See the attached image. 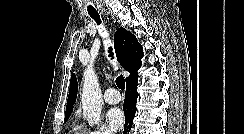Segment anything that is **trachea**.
Listing matches in <instances>:
<instances>
[{"mask_svg": "<svg viewBox=\"0 0 244 134\" xmlns=\"http://www.w3.org/2000/svg\"><path fill=\"white\" fill-rule=\"evenodd\" d=\"M89 15L97 22V24L101 23V19H100V16L98 13H89ZM108 52H109V56L111 58H113V53H112L111 47L109 48ZM116 84H117L119 89H121V90L125 89V80H124V77L122 75H119L116 78Z\"/></svg>", "mask_w": 244, "mask_h": 134, "instance_id": "obj_1", "label": "trachea"}]
</instances>
